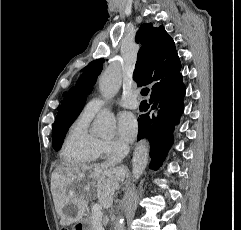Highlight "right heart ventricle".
I'll list each match as a JSON object with an SVG mask.
<instances>
[{"label":"right heart ventricle","instance_id":"1","mask_svg":"<svg viewBox=\"0 0 241 230\" xmlns=\"http://www.w3.org/2000/svg\"><path fill=\"white\" fill-rule=\"evenodd\" d=\"M93 116V113L84 109L69 127L61 151L64 163L87 164L101 156V140L89 131Z\"/></svg>","mask_w":241,"mask_h":230}]
</instances>
